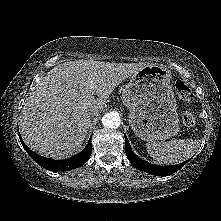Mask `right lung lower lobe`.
Here are the masks:
<instances>
[{
	"label": "right lung lower lobe",
	"instance_id": "1",
	"mask_svg": "<svg viewBox=\"0 0 221 221\" xmlns=\"http://www.w3.org/2000/svg\"><path fill=\"white\" fill-rule=\"evenodd\" d=\"M18 135L23 147L25 148L29 156L40 166L50 171H68L80 167L89 159L92 154L91 137L88 141L87 146L77 155L66 160H53L34 153L24 144L19 132Z\"/></svg>",
	"mask_w": 221,
	"mask_h": 221
}]
</instances>
